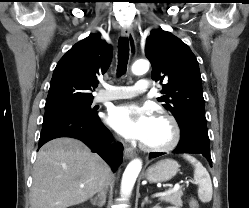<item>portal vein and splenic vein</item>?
Returning a JSON list of instances; mask_svg holds the SVG:
<instances>
[{
	"label": "portal vein and splenic vein",
	"mask_w": 249,
	"mask_h": 208,
	"mask_svg": "<svg viewBox=\"0 0 249 208\" xmlns=\"http://www.w3.org/2000/svg\"><path fill=\"white\" fill-rule=\"evenodd\" d=\"M80 187H83V185H81ZM179 189H180V185L177 183V184L174 185V187L171 190L157 193V194L154 195V197H161V196L167 195V194H169L171 192L177 191Z\"/></svg>",
	"instance_id": "1"
}]
</instances>
